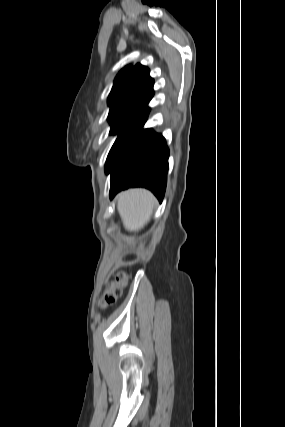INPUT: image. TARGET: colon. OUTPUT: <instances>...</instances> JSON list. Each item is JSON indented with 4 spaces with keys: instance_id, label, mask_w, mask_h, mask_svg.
<instances>
[{
    "instance_id": "1",
    "label": "colon",
    "mask_w": 285,
    "mask_h": 427,
    "mask_svg": "<svg viewBox=\"0 0 285 427\" xmlns=\"http://www.w3.org/2000/svg\"><path fill=\"white\" fill-rule=\"evenodd\" d=\"M127 282V274L124 271H119L115 274L113 279L108 283L102 298L100 300V306L102 308L107 307L116 302L121 296L122 290Z\"/></svg>"
}]
</instances>
